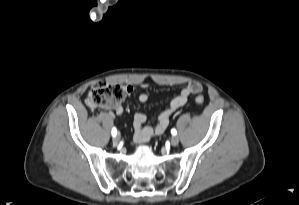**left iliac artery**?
Instances as JSON below:
<instances>
[{"label":"left iliac artery","mask_w":299,"mask_h":205,"mask_svg":"<svg viewBox=\"0 0 299 205\" xmlns=\"http://www.w3.org/2000/svg\"><path fill=\"white\" fill-rule=\"evenodd\" d=\"M171 133H172V135H176V134H177L176 129L173 128V129L171 130Z\"/></svg>","instance_id":"obj_1"}]
</instances>
